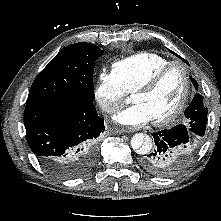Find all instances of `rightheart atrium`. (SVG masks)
<instances>
[{"label": "right heart atrium", "mask_w": 221, "mask_h": 221, "mask_svg": "<svg viewBox=\"0 0 221 221\" xmlns=\"http://www.w3.org/2000/svg\"><path fill=\"white\" fill-rule=\"evenodd\" d=\"M127 92L113 72L101 71L97 76L94 97L103 112L115 113L123 104Z\"/></svg>", "instance_id": "obj_1"}]
</instances>
